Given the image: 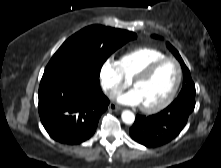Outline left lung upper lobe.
<instances>
[{"instance_id":"5c2ea615","label":"left lung upper lobe","mask_w":221,"mask_h":168,"mask_svg":"<svg viewBox=\"0 0 221 168\" xmlns=\"http://www.w3.org/2000/svg\"><path fill=\"white\" fill-rule=\"evenodd\" d=\"M154 37L156 38V36ZM166 45L168 49L174 54V56L179 60L182 66L184 82H183V88L181 92H188V91L195 92V85L191 79L190 71L186 67L178 51L170 43L167 42Z\"/></svg>"}]
</instances>
